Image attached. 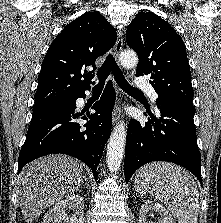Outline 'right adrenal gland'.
<instances>
[{
	"mask_svg": "<svg viewBox=\"0 0 221 223\" xmlns=\"http://www.w3.org/2000/svg\"><path fill=\"white\" fill-rule=\"evenodd\" d=\"M85 184L83 185V186H87V188H90V185L88 184V182H87V179H85Z\"/></svg>",
	"mask_w": 221,
	"mask_h": 223,
	"instance_id": "right-adrenal-gland-1",
	"label": "right adrenal gland"
}]
</instances>
